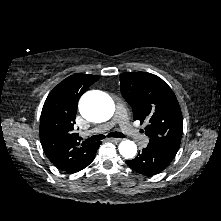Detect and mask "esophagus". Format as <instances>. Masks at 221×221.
Masks as SVG:
<instances>
[{"mask_svg": "<svg viewBox=\"0 0 221 221\" xmlns=\"http://www.w3.org/2000/svg\"><path fill=\"white\" fill-rule=\"evenodd\" d=\"M111 142H114V143H118V142H120L122 139H120V138H111V139H109Z\"/></svg>", "mask_w": 221, "mask_h": 221, "instance_id": "esophagus-1", "label": "esophagus"}]
</instances>
